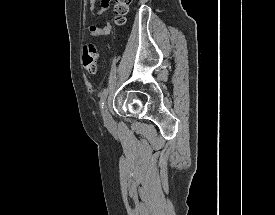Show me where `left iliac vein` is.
Here are the masks:
<instances>
[{
    "label": "left iliac vein",
    "mask_w": 275,
    "mask_h": 215,
    "mask_svg": "<svg viewBox=\"0 0 275 215\" xmlns=\"http://www.w3.org/2000/svg\"><path fill=\"white\" fill-rule=\"evenodd\" d=\"M102 114H103V119H104V124L107 128H110L112 127L113 125V118L112 116L110 115L109 111H108V108H107V105L105 104L104 107H103V111H102Z\"/></svg>",
    "instance_id": "1"
}]
</instances>
